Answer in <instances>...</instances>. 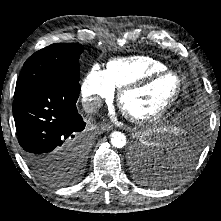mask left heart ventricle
<instances>
[{"label": "left heart ventricle", "instance_id": "obj_1", "mask_svg": "<svg viewBox=\"0 0 221 221\" xmlns=\"http://www.w3.org/2000/svg\"><path fill=\"white\" fill-rule=\"evenodd\" d=\"M175 90L176 80L172 76L158 78L146 87L125 95L124 109L137 116L153 114L171 99Z\"/></svg>", "mask_w": 221, "mask_h": 221}]
</instances>
